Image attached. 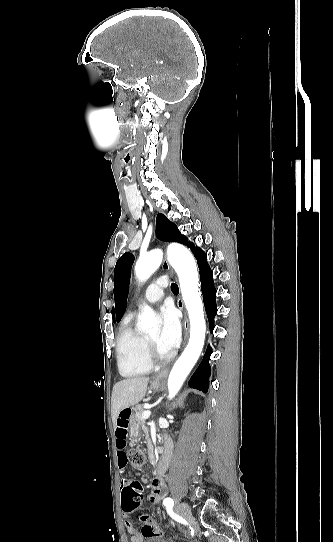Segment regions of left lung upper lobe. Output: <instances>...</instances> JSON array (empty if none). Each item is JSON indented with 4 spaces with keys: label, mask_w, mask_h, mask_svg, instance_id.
Instances as JSON below:
<instances>
[{
    "label": "left lung upper lobe",
    "mask_w": 333,
    "mask_h": 542,
    "mask_svg": "<svg viewBox=\"0 0 333 542\" xmlns=\"http://www.w3.org/2000/svg\"><path fill=\"white\" fill-rule=\"evenodd\" d=\"M156 236L166 242H179L191 248L193 253L198 249L194 244L182 235L177 226L169 221L163 214H158L156 219ZM134 256L124 253L117 261L114 270V298L116 304V320L120 321L126 309L131 267Z\"/></svg>",
    "instance_id": "left-lung-upper-lobe-1"
}]
</instances>
